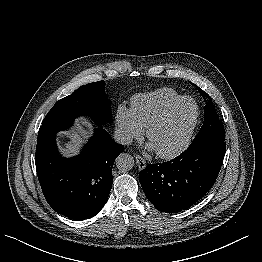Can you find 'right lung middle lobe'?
<instances>
[{"mask_svg":"<svg viewBox=\"0 0 262 262\" xmlns=\"http://www.w3.org/2000/svg\"><path fill=\"white\" fill-rule=\"evenodd\" d=\"M105 81L79 87L71 95L56 102L43 120L42 126L70 124L82 115L92 117L98 125L111 120L110 104L105 91Z\"/></svg>","mask_w":262,"mask_h":262,"instance_id":"dd1d6c3e","label":"right lung middle lobe"}]
</instances>
